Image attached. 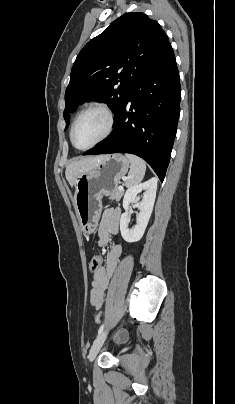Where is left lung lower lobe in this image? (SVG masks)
Segmentation results:
<instances>
[{"label": "left lung lower lobe", "mask_w": 235, "mask_h": 404, "mask_svg": "<svg viewBox=\"0 0 235 404\" xmlns=\"http://www.w3.org/2000/svg\"><path fill=\"white\" fill-rule=\"evenodd\" d=\"M180 98L179 73L169 44L133 85L116 114L112 134L83 155L135 154L163 182L176 135Z\"/></svg>", "instance_id": "left-lung-lower-lobe-1"}]
</instances>
